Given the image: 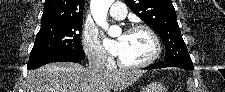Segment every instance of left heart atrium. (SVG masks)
<instances>
[{
    "label": "left heart atrium",
    "mask_w": 225,
    "mask_h": 92,
    "mask_svg": "<svg viewBox=\"0 0 225 92\" xmlns=\"http://www.w3.org/2000/svg\"><path fill=\"white\" fill-rule=\"evenodd\" d=\"M106 47H107L108 51L113 55L119 56L121 53V42L118 40L114 41V42L107 41Z\"/></svg>",
    "instance_id": "39dd6f15"
}]
</instances>
